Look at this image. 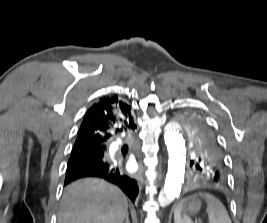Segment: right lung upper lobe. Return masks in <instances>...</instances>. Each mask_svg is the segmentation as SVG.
<instances>
[{
  "mask_svg": "<svg viewBox=\"0 0 267 223\" xmlns=\"http://www.w3.org/2000/svg\"><path fill=\"white\" fill-rule=\"evenodd\" d=\"M135 128L131 107L117 95L104 96L86 112L73 149L87 146L105 151L110 138Z\"/></svg>",
  "mask_w": 267,
  "mask_h": 223,
  "instance_id": "obj_1",
  "label": "right lung upper lobe"
}]
</instances>
